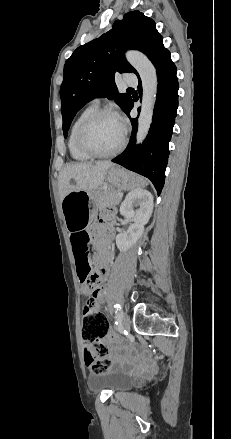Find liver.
Here are the masks:
<instances>
[{
  "label": "liver",
  "instance_id": "obj_1",
  "mask_svg": "<svg viewBox=\"0 0 231 439\" xmlns=\"http://www.w3.org/2000/svg\"><path fill=\"white\" fill-rule=\"evenodd\" d=\"M109 161L92 163H70L66 165L58 178L60 201L71 191H92L99 188L105 179L106 172L113 167ZM74 180L75 184H70Z\"/></svg>",
  "mask_w": 231,
  "mask_h": 439
}]
</instances>
